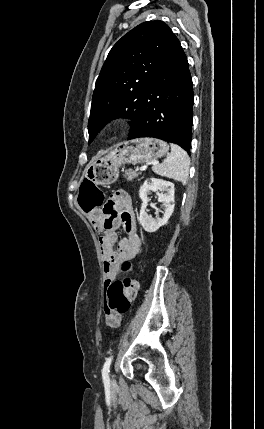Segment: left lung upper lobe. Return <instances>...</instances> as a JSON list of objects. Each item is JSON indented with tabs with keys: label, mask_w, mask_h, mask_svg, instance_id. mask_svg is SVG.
Instances as JSON below:
<instances>
[{
	"label": "left lung upper lobe",
	"mask_w": 264,
	"mask_h": 429,
	"mask_svg": "<svg viewBox=\"0 0 264 429\" xmlns=\"http://www.w3.org/2000/svg\"><path fill=\"white\" fill-rule=\"evenodd\" d=\"M171 35L172 30L164 22L147 21L113 46L96 80L88 121L89 142L105 124L120 116L130 118L133 129Z\"/></svg>",
	"instance_id": "5c2ea615"
}]
</instances>
